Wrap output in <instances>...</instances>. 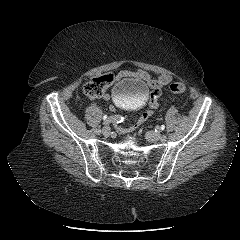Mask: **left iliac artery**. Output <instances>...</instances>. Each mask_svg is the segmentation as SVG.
Masks as SVG:
<instances>
[{"label":"left iliac artery","mask_w":240,"mask_h":240,"mask_svg":"<svg viewBox=\"0 0 240 240\" xmlns=\"http://www.w3.org/2000/svg\"><path fill=\"white\" fill-rule=\"evenodd\" d=\"M169 134H170L169 131L162 130L161 133L159 134V137L161 140H164L165 136L167 137V136H169Z\"/></svg>","instance_id":"obj_1"}]
</instances>
